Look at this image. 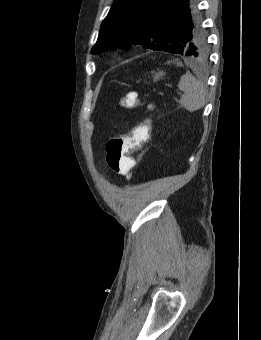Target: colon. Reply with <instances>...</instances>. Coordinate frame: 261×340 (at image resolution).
<instances>
[{"label":"colon","instance_id":"1","mask_svg":"<svg viewBox=\"0 0 261 340\" xmlns=\"http://www.w3.org/2000/svg\"><path fill=\"white\" fill-rule=\"evenodd\" d=\"M120 104L129 109L142 106L152 109V105L146 104L136 92H130L122 97ZM150 130L151 121L147 120L132 128L128 133L111 138L106 144V162L109 168L118 174L131 177L135 161L130 155L148 139Z\"/></svg>","mask_w":261,"mask_h":340}]
</instances>
